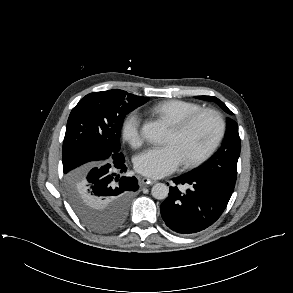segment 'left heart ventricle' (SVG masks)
I'll return each instance as SVG.
<instances>
[{"mask_svg":"<svg viewBox=\"0 0 293 293\" xmlns=\"http://www.w3.org/2000/svg\"><path fill=\"white\" fill-rule=\"evenodd\" d=\"M217 129L216 118L210 114H204L181 134H176L170 129L165 144H173L179 150L183 161L193 159L207 149Z\"/></svg>","mask_w":293,"mask_h":293,"instance_id":"obj_1","label":"left heart ventricle"}]
</instances>
